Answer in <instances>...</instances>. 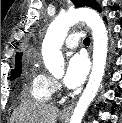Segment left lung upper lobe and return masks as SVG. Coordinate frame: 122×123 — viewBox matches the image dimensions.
I'll use <instances>...</instances> for the list:
<instances>
[{
  "instance_id": "left-lung-upper-lobe-1",
  "label": "left lung upper lobe",
  "mask_w": 122,
  "mask_h": 123,
  "mask_svg": "<svg viewBox=\"0 0 122 123\" xmlns=\"http://www.w3.org/2000/svg\"><path fill=\"white\" fill-rule=\"evenodd\" d=\"M73 4L77 7H84V6H88L91 7L95 10H98L99 12H101V9L99 7V5L96 3L95 0H72Z\"/></svg>"
}]
</instances>
